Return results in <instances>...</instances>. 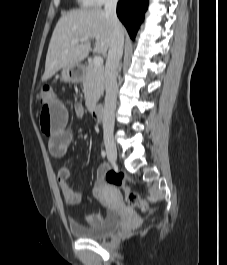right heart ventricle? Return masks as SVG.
<instances>
[{"mask_svg": "<svg viewBox=\"0 0 227 265\" xmlns=\"http://www.w3.org/2000/svg\"><path fill=\"white\" fill-rule=\"evenodd\" d=\"M83 4L90 5L87 0H80Z\"/></svg>", "mask_w": 227, "mask_h": 265, "instance_id": "obj_1", "label": "right heart ventricle"}]
</instances>
